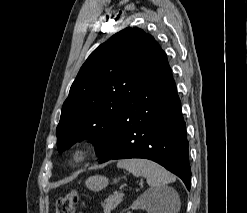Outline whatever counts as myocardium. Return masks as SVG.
I'll return each instance as SVG.
<instances>
[{
	"label": "myocardium",
	"instance_id": "f54148a6",
	"mask_svg": "<svg viewBox=\"0 0 247 213\" xmlns=\"http://www.w3.org/2000/svg\"><path fill=\"white\" fill-rule=\"evenodd\" d=\"M92 152V144L88 141H80L73 145L70 150L69 158L73 165L84 163Z\"/></svg>",
	"mask_w": 247,
	"mask_h": 213
}]
</instances>
